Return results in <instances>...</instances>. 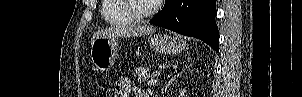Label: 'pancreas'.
Masks as SVG:
<instances>
[{
  "label": "pancreas",
  "instance_id": "pancreas-1",
  "mask_svg": "<svg viewBox=\"0 0 302 97\" xmlns=\"http://www.w3.org/2000/svg\"><path fill=\"white\" fill-rule=\"evenodd\" d=\"M134 76L137 78V80H138L139 82H142V81L148 79L149 76H150L149 67H147V66H140V67H137V68L135 69Z\"/></svg>",
  "mask_w": 302,
  "mask_h": 97
}]
</instances>
